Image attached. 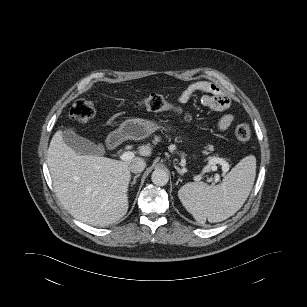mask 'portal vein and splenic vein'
I'll list each match as a JSON object with an SVG mask.
<instances>
[{
    "mask_svg": "<svg viewBox=\"0 0 307 307\" xmlns=\"http://www.w3.org/2000/svg\"><path fill=\"white\" fill-rule=\"evenodd\" d=\"M134 157H135V155L131 151L123 152L120 155V159L123 160V161L132 160ZM216 164L222 165V169H223L224 172H227L229 170V165H228L227 162H225L221 158H216V159H213L211 162H209V164L207 166L204 167L203 172L204 173L210 172V171L216 172L217 171ZM219 180H220V175L218 173H215L214 182H218Z\"/></svg>",
    "mask_w": 307,
    "mask_h": 307,
    "instance_id": "1",
    "label": "portal vein and splenic vein"
}]
</instances>
